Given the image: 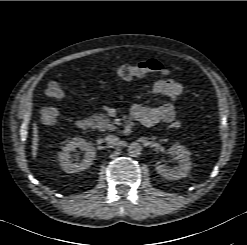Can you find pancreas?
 <instances>
[{
  "mask_svg": "<svg viewBox=\"0 0 247 245\" xmlns=\"http://www.w3.org/2000/svg\"><path fill=\"white\" fill-rule=\"evenodd\" d=\"M92 127L100 131H113L116 127L106 114H98L91 116Z\"/></svg>",
  "mask_w": 247,
  "mask_h": 245,
  "instance_id": "obj_1",
  "label": "pancreas"
}]
</instances>
